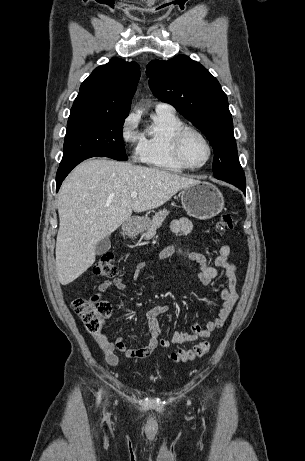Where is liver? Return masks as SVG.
I'll list each match as a JSON object with an SVG mask.
<instances>
[{
    "mask_svg": "<svg viewBox=\"0 0 305 461\" xmlns=\"http://www.w3.org/2000/svg\"><path fill=\"white\" fill-rule=\"evenodd\" d=\"M197 182L128 162L105 158L82 162L64 180L58 196L59 282L67 285L91 267L98 242L129 220L133 211L157 208ZM132 192L138 197L131 198Z\"/></svg>",
    "mask_w": 305,
    "mask_h": 461,
    "instance_id": "liver-1",
    "label": "liver"
}]
</instances>
